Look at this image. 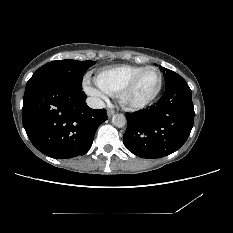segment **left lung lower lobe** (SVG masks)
<instances>
[{
	"label": "left lung lower lobe",
	"instance_id": "obj_1",
	"mask_svg": "<svg viewBox=\"0 0 233 233\" xmlns=\"http://www.w3.org/2000/svg\"><path fill=\"white\" fill-rule=\"evenodd\" d=\"M194 122L192 93L185 81L167 88L149 109L127 114L123 142L138 157L160 158L179 149Z\"/></svg>",
	"mask_w": 233,
	"mask_h": 233
}]
</instances>
